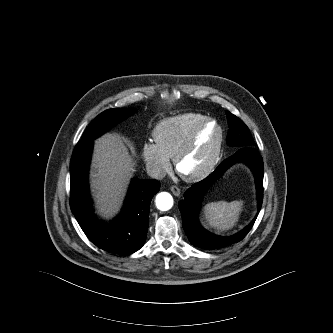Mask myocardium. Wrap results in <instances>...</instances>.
<instances>
[{
    "mask_svg": "<svg viewBox=\"0 0 333 333\" xmlns=\"http://www.w3.org/2000/svg\"><path fill=\"white\" fill-rule=\"evenodd\" d=\"M211 124L215 125L218 130V139H217V143H216L212 157L210 158L208 163L199 171H197L195 173H191V174L183 172L181 169L182 162L194 148L201 131L205 127H207L208 125H211ZM223 143H224L223 127L215 119L207 118L193 130V132L191 133L190 137L187 139L185 144L179 149V151L175 155L174 164H175L177 173L187 182H198L200 180H203L204 178L209 176L216 168V166L221 158Z\"/></svg>",
    "mask_w": 333,
    "mask_h": 333,
    "instance_id": "obj_1",
    "label": "myocardium"
}]
</instances>
